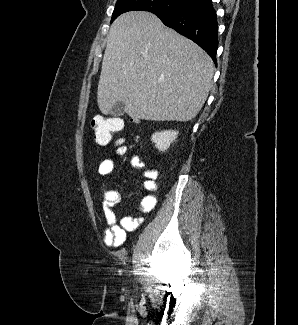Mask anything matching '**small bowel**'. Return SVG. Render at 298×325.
<instances>
[{"mask_svg":"<svg viewBox=\"0 0 298 325\" xmlns=\"http://www.w3.org/2000/svg\"><path fill=\"white\" fill-rule=\"evenodd\" d=\"M115 168V160L113 158H105L98 166L97 173L99 176L104 177L113 172ZM158 171L155 168H146L144 172L143 187L149 192L157 190ZM121 192L117 189L102 188V210L106 221L104 229V243L107 246L118 248L121 247L125 241L127 232L135 231L143 219H137L131 216H123L117 218L114 212V206L121 201ZM156 197L153 194L145 195L139 206L135 209L141 213L151 212L156 205Z\"/></svg>","mask_w":298,"mask_h":325,"instance_id":"small-bowel-1","label":"small bowel"}]
</instances>
